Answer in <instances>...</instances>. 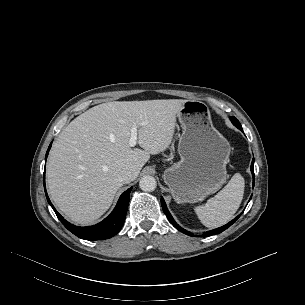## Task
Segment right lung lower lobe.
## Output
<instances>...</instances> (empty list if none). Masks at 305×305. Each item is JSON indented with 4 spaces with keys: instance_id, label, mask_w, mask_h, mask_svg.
I'll use <instances>...</instances> for the list:
<instances>
[{
    "instance_id": "98d812e1",
    "label": "right lung lower lobe",
    "mask_w": 305,
    "mask_h": 305,
    "mask_svg": "<svg viewBox=\"0 0 305 305\" xmlns=\"http://www.w3.org/2000/svg\"><path fill=\"white\" fill-rule=\"evenodd\" d=\"M52 144V143H51ZM51 144L47 150L46 153V159L49 153V150L51 148ZM44 187H45V171H44ZM131 188L126 190L119 198L118 203L114 210L111 212V214L105 218L103 221L100 223L94 225V226H88V227H78L75 225H72L71 223L67 222L54 208L52 203L50 202V199L48 198L46 189H45V194L46 198L50 204V206L53 208L55 211L58 219L61 221V223L73 234L78 236L81 239L85 240H103V239H108L117 234L120 229L123 226L125 217H126V212L128 208V203H129V194L131 192Z\"/></svg>"
}]
</instances>
